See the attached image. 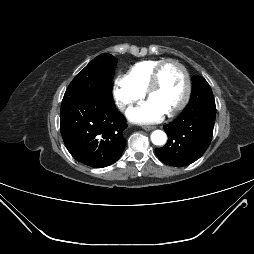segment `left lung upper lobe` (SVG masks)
<instances>
[{
  "instance_id": "obj_1",
  "label": "left lung upper lobe",
  "mask_w": 254,
  "mask_h": 254,
  "mask_svg": "<svg viewBox=\"0 0 254 254\" xmlns=\"http://www.w3.org/2000/svg\"><path fill=\"white\" fill-rule=\"evenodd\" d=\"M192 93L189 103L215 104L211 87L207 81L200 77H192Z\"/></svg>"
}]
</instances>
